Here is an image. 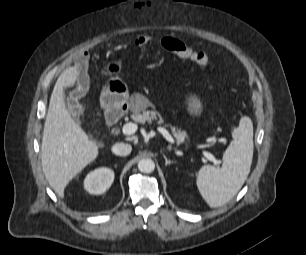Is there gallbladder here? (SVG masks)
Masks as SVG:
<instances>
[{
  "instance_id": "obj_1",
  "label": "gallbladder",
  "mask_w": 306,
  "mask_h": 255,
  "mask_svg": "<svg viewBox=\"0 0 306 255\" xmlns=\"http://www.w3.org/2000/svg\"><path fill=\"white\" fill-rule=\"evenodd\" d=\"M68 110L72 112L75 108L79 106L76 91L70 92L69 97L67 98Z\"/></svg>"
}]
</instances>
